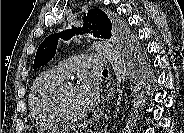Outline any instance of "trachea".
Instances as JSON below:
<instances>
[{"label": "trachea", "mask_w": 184, "mask_h": 133, "mask_svg": "<svg viewBox=\"0 0 184 133\" xmlns=\"http://www.w3.org/2000/svg\"><path fill=\"white\" fill-rule=\"evenodd\" d=\"M103 72H108V71L105 69V70H103Z\"/></svg>", "instance_id": "3493384b"}]
</instances>
